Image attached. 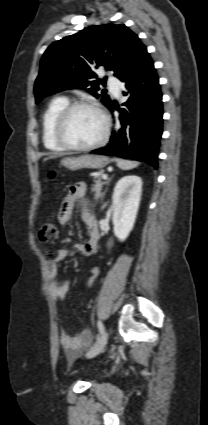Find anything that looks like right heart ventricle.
<instances>
[{
    "label": "right heart ventricle",
    "instance_id": "1",
    "mask_svg": "<svg viewBox=\"0 0 208 425\" xmlns=\"http://www.w3.org/2000/svg\"><path fill=\"white\" fill-rule=\"evenodd\" d=\"M69 103L64 96L52 99L46 107L42 116V140L44 146L50 151L61 152L65 149L61 147L54 138V128L58 115Z\"/></svg>",
    "mask_w": 208,
    "mask_h": 425
}]
</instances>
